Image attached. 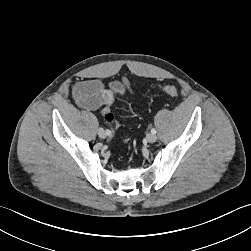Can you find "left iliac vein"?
<instances>
[{"label": "left iliac vein", "mask_w": 251, "mask_h": 251, "mask_svg": "<svg viewBox=\"0 0 251 251\" xmlns=\"http://www.w3.org/2000/svg\"><path fill=\"white\" fill-rule=\"evenodd\" d=\"M146 139L149 143H154L157 140V136L154 133H148Z\"/></svg>", "instance_id": "obj_1"}]
</instances>
